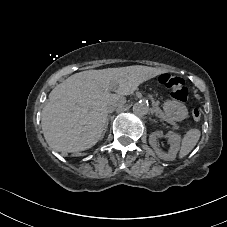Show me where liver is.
<instances>
[{
  "label": "liver",
  "mask_w": 227,
  "mask_h": 227,
  "mask_svg": "<svg viewBox=\"0 0 227 227\" xmlns=\"http://www.w3.org/2000/svg\"><path fill=\"white\" fill-rule=\"evenodd\" d=\"M160 69L129 66L89 70L74 74L55 86L42 109L41 126L46 143L54 152L75 153L95 146L107 121L109 90L127 95L159 74ZM125 87V89H123Z\"/></svg>",
  "instance_id": "liver-1"
}]
</instances>
